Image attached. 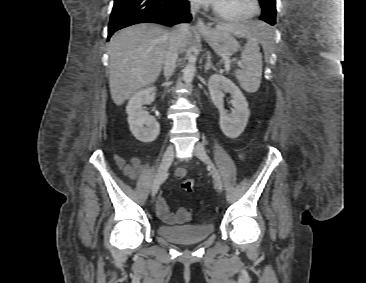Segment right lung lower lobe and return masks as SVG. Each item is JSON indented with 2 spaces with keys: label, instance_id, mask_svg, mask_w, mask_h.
Returning <instances> with one entry per match:
<instances>
[{
  "label": "right lung lower lobe",
  "instance_id": "98d812e1",
  "mask_svg": "<svg viewBox=\"0 0 366 283\" xmlns=\"http://www.w3.org/2000/svg\"><path fill=\"white\" fill-rule=\"evenodd\" d=\"M190 20L187 0H114L108 39L117 30L138 23L153 22L172 26Z\"/></svg>",
  "mask_w": 366,
  "mask_h": 283
}]
</instances>
